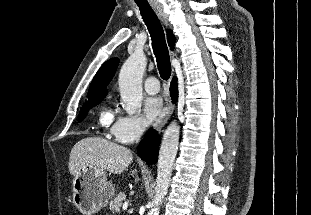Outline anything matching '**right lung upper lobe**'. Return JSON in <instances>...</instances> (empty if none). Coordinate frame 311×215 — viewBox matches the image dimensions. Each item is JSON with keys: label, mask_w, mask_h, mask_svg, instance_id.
<instances>
[{"label": "right lung upper lobe", "mask_w": 311, "mask_h": 215, "mask_svg": "<svg viewBox=\"0 0 311 215\" xmlns=\"http://www.w3.org/2000/svg\"><path fill=\"white\" fill-rule=\"evenodd\" d=\"M167 40L171 50L174 49L175 44V37L171 30H167ZM119 60L114 58L106 61L101 68L96 73L95 77L93 78L91 85L88 91V99L97 98V97H104L107 93L105 90L108 83L113 78L115 71L117 69Z\"/></svg>", "instance_id": "right-lung-upper-lobe-1"}]
</instances>
